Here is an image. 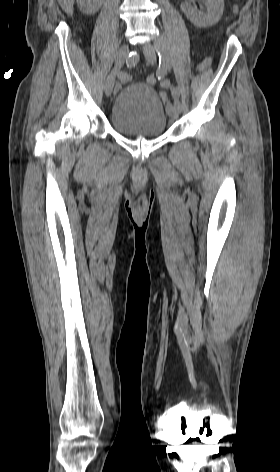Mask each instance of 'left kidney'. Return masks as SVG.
I'll return each mask as SVG.
<instances>
[{
    "instance_id": "obj_1",
    "label": "left kidney",
    "mask_w": 280,
    "mask_h": 472,
    "mask_svg": "<svg viewBox=\"0 0 280 472\" xmlns=\"http://www.w3.org/2000/svg\"><path fill=\"white\" fill-rule=\"evenodd\" d=\"M203 1L207 7V11L204 13L197 12V9L188 2L182 4V10L186 17L191 23L199 28L212 26L217 23L220 20L224 9V0Z\"/></svg>"
}]
</instances>
